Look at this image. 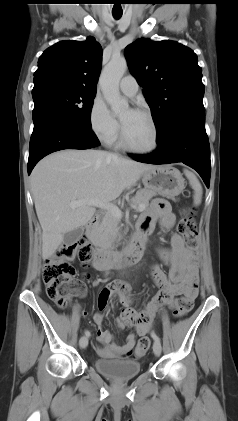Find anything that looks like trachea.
Listing matches in <instances>:
<instances>
[{
    "mask_svg": "<svg viewBox=\"0 0 238 421\" xmlns=\"http://www.w3.org/2000/svg\"><path fill=\"white\" fill-rule=\"evenodd\" d=\"M122 16V13H113L115 19H119Z\"/></svg>",
    "mask_w": 238,
    "mask_h": 421,
    "instance_id": "1",
    "label": "trachea"
}]
</instances>
